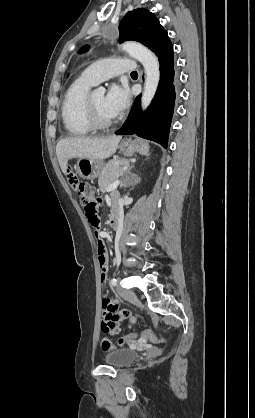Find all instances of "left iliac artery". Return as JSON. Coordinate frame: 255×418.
<instances>
[{
  "instance_id": "44dca946",
  "label": "left iliac artery",
  "mask_w": 255,
  "mask_h": 418,
  "mask_svg": "<svg viewBox=\"0 0 255 418\" xmlns=\"http://www.w3.org/2000/svg\"><path fill=\"white\" fill-rule=\"evenodd\" d=\"M111 284H112L113 286H116V284H117V280H116L115 278H112V279H111Z\"/></svg>"
}]
</instances>
